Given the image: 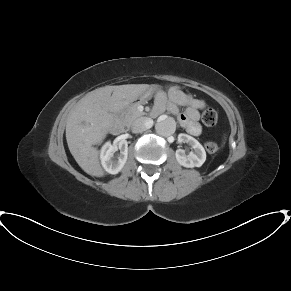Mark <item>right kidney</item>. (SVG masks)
<instances>
[{"mask_svg": "<svg viewBox=\"0 0 291 291\" xmlns=\"http://www.w3.org/2000/svg\"><path fill=\"white\" fill-rule=\"evenodd\" d=\"M120 150V155L114 158V153ZM128 157L127 141L121 140L119 142H106L100 151L101 164L106 172L110 174L119 173L124 167Z\"/></svg>", "mask_w": 291, "mask_h": 291, "instance_id": "ca27d5eb", "label": "right kidney"}]
</instances>
